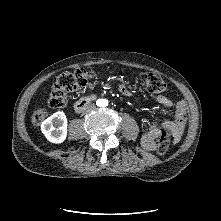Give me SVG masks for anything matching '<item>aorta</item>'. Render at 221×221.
<instances>
[{"label":"aorta","mask_w":221,"mask_h":221,"mask_svg":"<svg viewBox=\"0 0 221 221\" xmlns=\"http://www.w3.org/2000/svg\"><path fill=\"white\" fill-rule=\"evenodd\" d=\"M97 105L98 106H105L106 105V100L105 99H99L97 101Z\"/></svg>","instance_id":"1"}]
</instances>
